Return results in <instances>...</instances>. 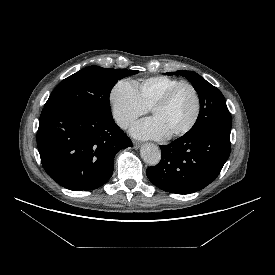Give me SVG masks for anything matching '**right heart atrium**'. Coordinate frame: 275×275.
<instances>
[{"label": "right heart atrium", "instance_id": "right-heart-atrium-1", "mask_svg": "<svg viewBox=\"0 0 275 275\" xmlns=\"http://www.w3.org/2000/svg\"><path fill=\"white\" fill-rule=\"evenodd\" d=\"M109 102L115 122L123 129L130 127L148 110L139 98L135 83L128 79L120 80L113 86Z\"/></svg>", "mask_w": 275, "mask_h": 275}]
</instances>
